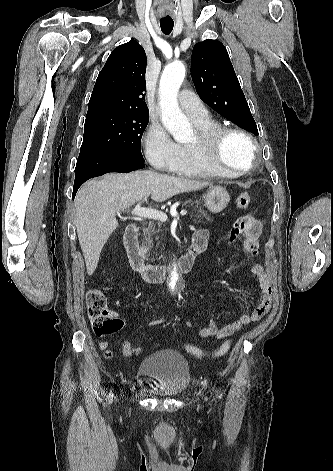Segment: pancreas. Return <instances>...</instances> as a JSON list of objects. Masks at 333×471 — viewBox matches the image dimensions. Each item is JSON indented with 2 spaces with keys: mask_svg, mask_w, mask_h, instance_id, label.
<instances>
[{
  "mask_svg": "<svg viewBox=\"0 0 333 471\" xmlns=\"http://www.w3.org/2000/svg\"><path fill=\"white\" fill-rule=\"evenodd\" d=\"M189 204L190 206H194V211L196 214H192L191 217H194V221L196 223H201V219L205 218L207 221L211 220V217L204 212V210L199 207V201H192V200H187L185 202V205ZM160 232V224H158V227H156L153 223H149L148 227L143 230V249L148 252L151 251L153 248V236L157 239V234Z\"/></svg>",
  "mask_w": 333,
  "mask_h": 471,
  "instance_id": "cf45deb5",
  "label": "pancreas"
}]
</instances>
